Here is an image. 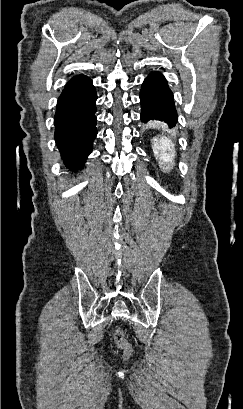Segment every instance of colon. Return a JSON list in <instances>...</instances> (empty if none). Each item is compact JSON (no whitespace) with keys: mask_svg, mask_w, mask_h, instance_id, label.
<instances>
[{"mask_svg":"<svg viewBox=\"0 0 243 409\" xmlns=\"http://www.w3.org/2000/svg\"><path fill=\"white\" fill-rule=\"evenodd\" d=\"M115 340L118 346L123 350L124 355L126 357H129L132 353V347L130 343L126 340L121 330H117V332L115 333Z\"/></svg>","mask_w":243,"mask_h":409,"instance_id":"colon-1","label":"colon"}]
</instances>
